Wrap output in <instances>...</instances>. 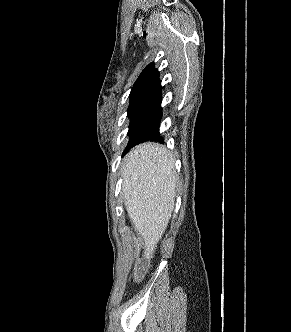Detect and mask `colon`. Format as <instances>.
Instances as JSON below:
<instances>
[{
  "label": "colon",
  "mask_w": 291,
  "mask_h": 332,
  "mask_svg": "<svg viewBox=\"0 0 291 332\" xmlns=\"http://www.w3.org/2000/svg\"><path fill=\"white\" fill-rule=\"evenodd\" d=\"M141 273H142V268H140V269L138 270V272H137V277H140Z\"/></svg>",
  "instance_id": "5ec220e1"
}]
</instances>
